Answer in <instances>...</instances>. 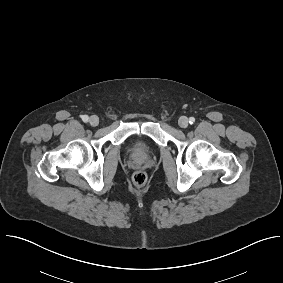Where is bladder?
Here are the masks:
<instances>
[{"instance_id": "31cf9c89", "label": "bladder", "mask_w": 283, "mask_h": 283, "mask_svg": "<svg viewBox=\"0 0 283 283\" xmlns=\"http://www.w3.org/2000/svg\"><path fill=\"white\" fill-rule=\"evenodd\" d=\"M131 151L134 153V154H142L144 153V149H142L141 147L137 146V145H133L131 147Z\"/></svg>"}]
</instances>
